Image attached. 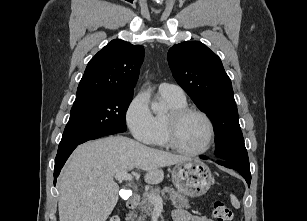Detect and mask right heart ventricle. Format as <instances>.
Masks as SVG:
<instances>
[{
	"mask_svg": "<svg viewBox=\"0 0 307 221\" xmlns=\"http://www.w3.org/2000/svg\"><path fill=\"white\" fill-rule=\"evenodd\" d=\"M168 103L171 110L185 107L187 105L186 99L178 100L171 97L161 95ZM166 117L167 115L157 114L154 117V136L152 144L156 146H166Z\"/></svg>",
	"mask_w": 307,
	"mask_h": 221,
	"instance_id": "e07e8e85",
	"label": "right heart ventricle"
}]
</instances>
